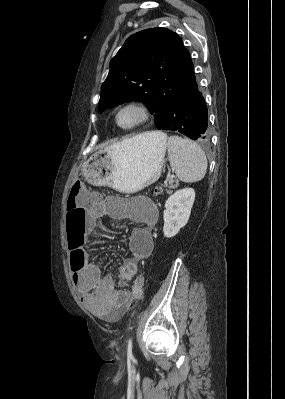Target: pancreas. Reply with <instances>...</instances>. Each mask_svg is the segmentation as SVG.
Instances as JSON below:
<instances>
[{
	"label": "pancreas",
	"mask_w": 285,
	"mask_h": 399,
	"mask_svg": "<svg viewBox=\"0 0 285 399\" xmlns=\"http://www.w3.org/2000/svg\"><path fill=\"white\" fill-rule=\"evenodd\" d=\"M164 187L165 188H169V190H167V192L170 193L171 189H174V188L178 187V180L177 179H173V178H168L164 182Z\"/></svg>",
	"instance_id": "1"
}]
</instances>
